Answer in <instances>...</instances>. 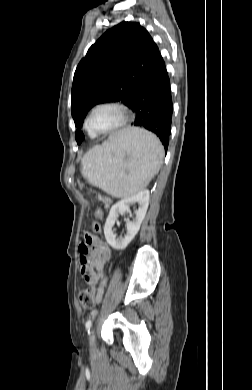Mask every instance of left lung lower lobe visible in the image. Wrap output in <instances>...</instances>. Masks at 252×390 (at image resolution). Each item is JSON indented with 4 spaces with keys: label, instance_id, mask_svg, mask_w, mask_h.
Masks as SVG:
<instances>
[{
    "label": "left lung lower lobe",
    "instance_id": "obj_1",
    "mask_svg": "<svg viewBox=\"0 0 252 390\" xmlns=\"http://www.w3.org/2000/svg\"><path fill=\"white\" fill-rule=\"evenodd\" d=\"M128 107L135 112L133 125L155 133L168 148L173 113L170 80L162 57L145 75Z\"/></svg>",
    "mask_w": 252,
    "mask_h": 390
}]
</instances>
